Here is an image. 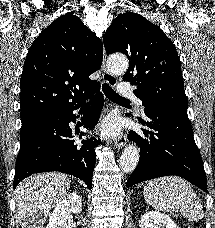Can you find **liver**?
<instances>
[{
  "label": "liver",
  "mask_w": 215,
  "mask_h": 228,
  "mask_svg": "<svg viewBox=\"0 0 215 228\" xmlns=\"http://www.w3.org/2000/svg\"><path fill=\"white\" fill-rule=\"evenodd\" d=\"M70 190L65 174L45 172L22 180L15 190V204L21 228H43L51 208Z\"/></svg>",
  "instance_id": "6515ba94"
}]
</instances>
